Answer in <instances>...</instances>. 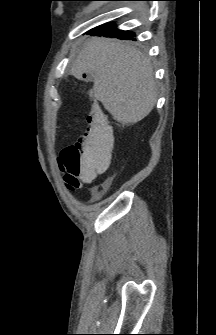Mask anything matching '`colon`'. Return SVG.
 <instances>
[{
  "mask_svg": "<svg viewBox=\"0 0 216 335\" xmlns=\"http://www.w3.org/2000/svg\"><path fill=\"white\" fill-rule=\"evenodd\" d=\"M88 127L82 138L60 153L59 167L64 184L71 190L81 184L80 178H101L113 165L112 127L94 104L88 115Z\"/></svg>",
  "mask_w": 216,
  "mask_h": 335,
  "instance_id": "obj_1",
  "label": "colon"
}]
</instances>
